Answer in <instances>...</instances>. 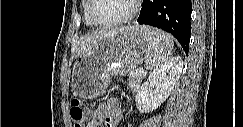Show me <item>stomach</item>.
<instances>
[{
  "label": "stomach",
  "instance_id": "1",
  "mask_svg": "<svg viewBox=\"0 0 243 127\" xmlns=\"http://www.w3.org/2000/svg\"><path fill=\"white\" fill-rule=\"evenodd\" d=\"M143 28L133 26L98 40L79 56L72 70V90L81 98L92 99L110 84L114 74L124 75L145 60L150 43Z\"/></svg>",
  "mask_w": 243,
  "mask_h": 127
}]
</instances>
